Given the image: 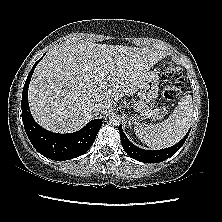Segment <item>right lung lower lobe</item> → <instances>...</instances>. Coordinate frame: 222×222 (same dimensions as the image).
<instances>
[{"mask_svg": "<svg viewBox=\"0 0 222 222\" xmlns=\"http://www.w3.org/2000/svg\"><path fill=\"white\" fill-rule=\"evenodd\" d=\"M39 59L28 74L22 94V121L34 148L43 156L56 160H69L83 155L93 144L103 122L94 119L75 133L57 134L45 130L33 119L28 104V87Z\"/></svg>", "mask_w": 222, "mask_h": 222, "instance_id": "1", "label": "right lung lower lobe"}]
</instances>
